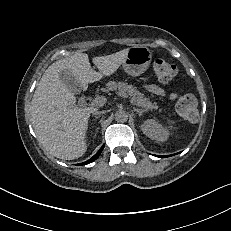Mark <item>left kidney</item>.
<instances>
[{"label":"left kidney","mask_w":231,"mask_h":231,"mask_svg":"<svg viewBox=\"0 0 231 231\" xmlns=\"http://www.w3.org/2000/svg\"><path fill=\"white\" fill-rule=\"evenodd\" d=\"M143 133L156 142H165L169 137V131L154 119H148L141 125Z\"/></svg>","instance_id":"left-kidney-1"}]
</instances>
